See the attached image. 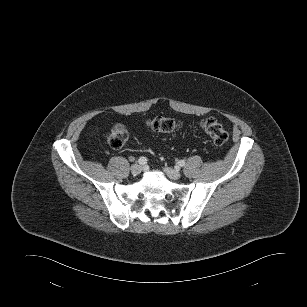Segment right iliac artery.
<instances>
[{"label":"right iliac artery","mask_w":307,"mask_h":307,"mask_svg":"<svg viewBox=\"0 0 307 307\" xmlns=\"http://www.w3.org/2000/svg\"><path fill=\"white\" fill-rule=\"evenodd\" d=\"M138 162L140 165H145L147 163V159L145 157H140Z\"/></svg>","instance_id":"82829eb1"}]
</instances>
